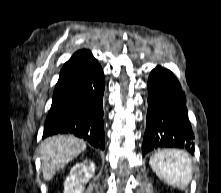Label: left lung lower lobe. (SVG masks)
Here are the masks:
<instances>
[{"instance_id":"obj_1","label":"left lung lower lobe","mask_w":221,"mask_h":193,"mask_svg":"<svg viewBox=\"0 0 221 193\" xmlns=\"http://www.w3.org/2000/svg\"><path fill=\"white\" fill-rule=\"evenodd\" d=\"M172 112L169 125L163 111ZM194 133L188 119L186 98L180 83L170 70L157 66L148 80V112L142 143L143 155L158 148H183L194 153Z\"/></svg>"}]
</instances>
